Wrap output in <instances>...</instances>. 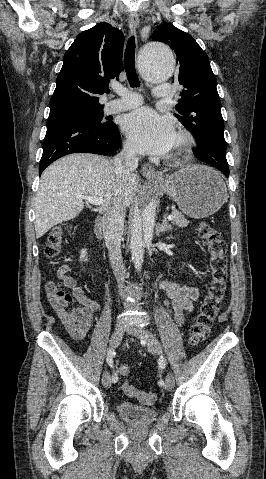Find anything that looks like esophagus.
<instances>
[{
    "label": "esophagus",
    "mask_w": 266,
    "mask_h": 479,
    "mask_svg": "<svg viewBox=\"0 0 266 479\" xmlns=\"http://www.w3.org/2000/svg\"><path fill=\"white\" fill-rule=\"evenodd\" d=\"M139 16L136 12H131L129 15V27L131 32H135L136 29L139 26ZM141 172L144 176L149 177V178H154V179H162L161 174H159L154 167H152L150 164H142L141 166Z\"/></svg>",
    "instance_id": "obj_1"
}]
</instances>
